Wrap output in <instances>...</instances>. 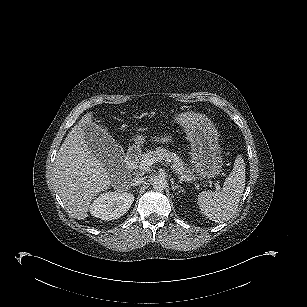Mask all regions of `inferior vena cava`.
Returning a JSON list of instances; mask_svg holds the SVG:
<instances>
[{
  "instance_id": "602c4592",
  "label": "inferior vena cava",
  "mask_w": 307,
  "mask_h": 307,
  "mask_svg": "<svg viewBox=\"0 0 307 307\" xmlns=\"http://www.w3.org/2000/svg\"><path fill=\"white\" fill-rule=\"evenodd\" d=\"M144 182V178L143 177H134L133 179H131V186H138L141 185Z\"/></svg>"
}]
</instances>
